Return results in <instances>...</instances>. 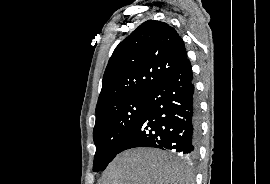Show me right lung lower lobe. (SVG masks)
I'll use <instances>...</instances> for the list:
<instances>
[{"label":"right lung lower lobe","mask_w":270,"mask_h":184,"mask_svg":"<svg viewBox=\"0 0 270 184\" xmlns=\"http://www.w3.org/2000/svg\"><path fill=\"white\" fill-rule=\"evenodd\" d=\"M199 138L193 74L186 60L147 95V105L118 153L135 147L169 149L194 157Z\"/></svg>","instance_id":"obj_1"}]
</instances>
